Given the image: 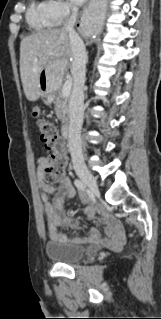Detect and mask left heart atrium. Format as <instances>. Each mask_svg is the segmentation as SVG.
<instances>
[{
	"label": "left heart atrium",
	"instance_id": "39dd6f15",
	"mask_svg": "<svg viewBox=\"0 0 161 319\" xmlns=\"http://www.w3.org/2000/svg\"><path fill=\"white\" fill-rule=\"evenodd\" d=\"M73 4L75 5H80L82 4L85 0H71Z\"/></svg>",
	"mask_w": 161,
	"mask_h": 319
}]
</instances>
